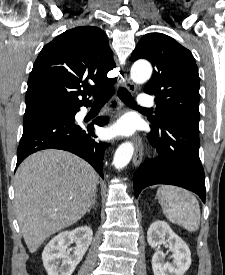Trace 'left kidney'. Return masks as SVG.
<instances>
[{
	"label": "left kidney",
	"mask_w": 225,
	"mask_h": 275,
	"mask_svg": "<svg viewBox=\"0 0 225 275\" xmlns=\"http://www.w3.org/2000/svg\"><path fill=\"white\" fill-rule=\"evenodd\" d=\"M148 244L156 249L152 257L154 275H184L191 265V252L186 243L176 235L164 221L152 223L147 232ZM168 243L173 252L172 262L165 261V253L160 251V245Z\"/></svg>",
	"instance_id": "left-kidney-1"
}]
</instances>
